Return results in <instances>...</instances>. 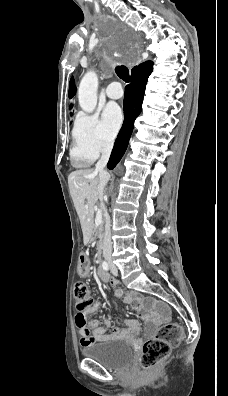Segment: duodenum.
I'll return each instance as SVG.
<instances>
[{"label":"duodenum","instance_id":"duodenum-1","mask_svg":"<svg viewBox=\"0 0 228 396\" xmlns=\"http://www.w3.org/2000/svg\"><path fill=\"white\" fill-rule=\"evenodd\" d=\"M100 253H101V250H99L98 254L100 255ZM98 273H99L100 278L103 281L107 280V274L101 268H99Z\"/></svg>","mask_w":228,"mask_h":396}]
</instances>
